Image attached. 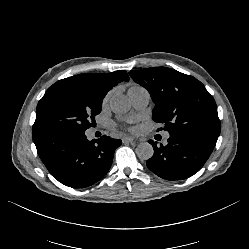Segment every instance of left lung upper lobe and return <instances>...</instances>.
<instances>
[{"label": "left lung upper lobe", "instance_id": "5c2ea615", "mask_svg": "<svg viewBox=\"0 0 249 249\" xmlns=\"http://www.w3.org/2000/svg\"><path fill=\"white\" fill-rule=\"evenodd\" d=\"M129 74L149 91L155 103L152 119L164 125L165 131L194 130L219 136L215 100L196 78L166 67L131 70Z\"/></svg>", "mask_w": 249, "mask_h": 249}]
</instances>
